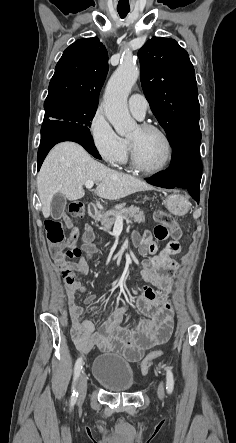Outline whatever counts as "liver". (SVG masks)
I'll return each mask as SVG.
<instances>
[{
  "label": "liver",
  "instance_id": "6515ba94",
  "mask_svg": "<svg viewBox=\"0 0 236 443\" xmlns=\"http://www.w3.org/2000/svg\"><path fill=\"white\" fill-rule=\"evenodd\" d=\"M87 181L97 183L95 193L109 200L152 189L138 178L97 162L80 145L63 142L50 151L37 176V190L44 217L50 216L54 195L60 193L68 200H78L85 195L83 185Z\"/></svg>",
  "mask_w": 236,
  "mask_h": 443
}]
</instances>
